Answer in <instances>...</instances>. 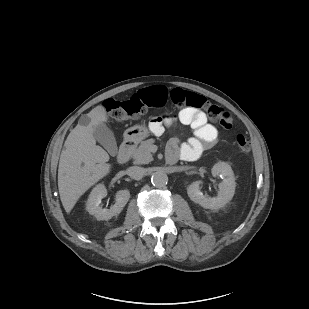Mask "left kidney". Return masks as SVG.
I'll list each match as a JSON object with an SVG mask.
<instances>
[{"instance_id":"obj_1","label":"left kidney","mask_w":309,"mask_h":309,"mask_svg":"<svg viewBox=\"0 0 309 309\" xmlns=\"http://www.w3.org/2000/svg\"><path fill=\"white\" fill-rule=\"evenodd\" d=\"M214 176L220 175L223 180L219 184L217 197H208L200 191L201 181H195L187 188L189 198L205 209H220L224 207L234 196L235 178L231 166L225 162H218L212 168Z\"/></svg>"}]
</instances>
